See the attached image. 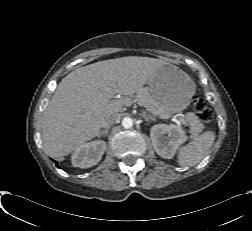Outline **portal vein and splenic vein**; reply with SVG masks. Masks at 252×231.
<instances>
[{
	"label": "portal vein and splenic vein",
	"mask_w": 252,
	"mask_h": 231,
	"mask_svg": "<svg viewBox=\"0 0 252 231\" xmlns=\"http://www.w3.org/2000/svg\"><path fill=\"white\" fill-rule=\"evenodd\" d=\"M115 93H116L115 91L110 92V97H115ZM170 117L173 119L174 122H176L179 125L186 123L184 118L181 117L180 115H174V116L166 115V116H163V118H170Z\"/></svg>",
	"instance_id": "18ae733b"
}]
</instances>
